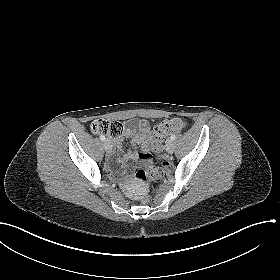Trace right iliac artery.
I'll use <instances>...</instances> for the list:
<instances>
[{"mask_svg": "<svg viewBox=\"0 0 280 280\" xmlns=\"http://www.w3.org/2000/svg\"><path fill=\"white\" fill-rule=\"evenodd\" d=\"M106 138L103 135H100V140L104 141Z\"/></svg>", "mask_w": 280, "mask_h": 280, "instance_id": "82829eb1", "label": "right iliac artery"}]
</instances>
